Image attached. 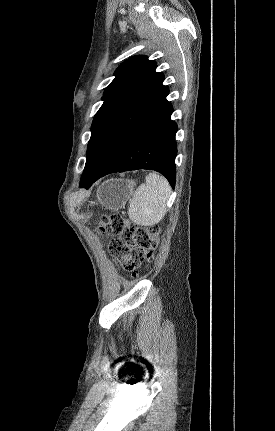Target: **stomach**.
Masks as SVG:
<instances>
[{"mask_svg": "<svg viewBox=\"0 0 275 431\" xmlns=\"http://www.w3.org/2000/svg\"><path fill=\"white\" fill-rule=\"evenodd\" d=\"M136 183L133 180H109L98 189L97 198L102 206L107 209L117 210L122 208L133 194Z\"/></svg>", "mask_w": 275, "mask_h": 431, "instance_id": "0dacf381", "label": "stomach"}]
</instances>
